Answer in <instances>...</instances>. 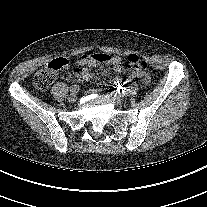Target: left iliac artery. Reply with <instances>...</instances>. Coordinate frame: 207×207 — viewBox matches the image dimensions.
<instances>
[{
    "label": "left iliac artery",
    "mask_w": 207,
    "mask_h": 207,
    "mask_svg": "<svg viewBox=\"0 0 207 207\" xmlns=\"http://www.w3.org/2000/svg\"><path fill=\"white\" fill-rule=\"evenodd\" d=\"M117 96L120 97V98H124L125 97V94L122 93L121 91H118L117 93ZM116 96V95H115Z\"/></svg>",
    "instance_id": "1"
}]
</instances>
